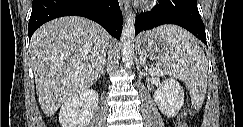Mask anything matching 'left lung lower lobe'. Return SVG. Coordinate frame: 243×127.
Masks as SVG:
<instances>
[{"mask_svg": "<svg viewBox=\"0 0 243 127\" xmlns=\"http://www.w3.org/2000/svg\"><path fill=\"white\" fill-rule=\"evenodd\" d=\"M150 14L136 15L135 35L164 24L179 25L207 45L197 0H159Z\"/></svg>", "mask_w": 243, "mask_h": 127, "instance_id": "left-lung-lower-lobe-1", "label": "left lung lower lobe"}]
</instances>
